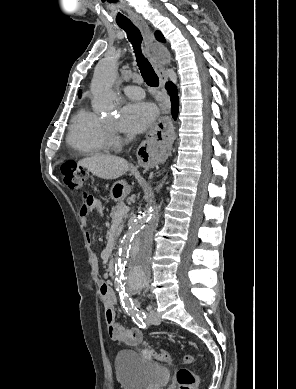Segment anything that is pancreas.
Masks as SVG:
<instances>
[{
    "mask_svg": "<svg viewBox=\"0 0 296 389\" xmlns=\"http://www.w3.org/2000/svg\"><path fill=\"white\" fill-rule=\"evenodd\" d=\"M123 206H125V203L122 202V201H120L115 207L112 208L110 217H111L112 219H114V218H115V215H116V213H117V211H118L121 207H123Z\"/></svg>",
    "mask_w": 296,
    "mask_h": 389,
    "instance_id": "pancreas-1",
    "label": "pancreas"
}]
</instances>
